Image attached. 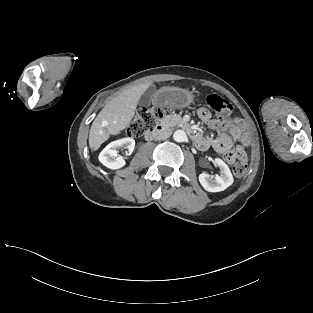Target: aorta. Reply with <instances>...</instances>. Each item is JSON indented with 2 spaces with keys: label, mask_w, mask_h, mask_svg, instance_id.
I'll list each match as a JSON object with an SVG mask.
<instances>
[{
  "label": "aorta",
  "mask_w": 313,
  "mask_h": 313,
  "mask_svg": "<svg viewBox=\"0 0 313 313\" xmlns=\"http://www.w3.org/2000/svg\"><path fill=\"white\" fill-rule=\"evenodd\" d=\"M173 139L176 142H184L187 139V135L183 130H176L173 134Z\"/></svg>",
  "instance_id": "1"
}]
</instances>
